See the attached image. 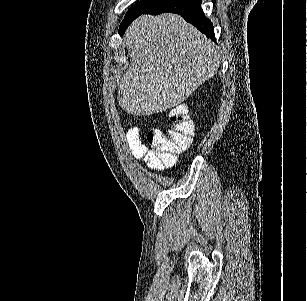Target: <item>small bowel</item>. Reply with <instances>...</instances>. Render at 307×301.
I'll return each mask as SVG.
<instances>
[{"instance_id": "c3829d8e", "label": "small bowel", "mask_w": 307, "mask_h": 301, "mask_svg": "<svg viewBox=\"0 0 307 301\" xmlns=\"http://www.w3.org/2000/svg\"><path fill=\"white\" fill-rule=\"evenodd\" d=\"M126 145L129 148L133 157L137 159H143L147 167L154 171H162L165 165L161 160L149 150L143 143L140 137V130L134 126L128 129L125 136Z\"/></svg>"}]
</instances>
